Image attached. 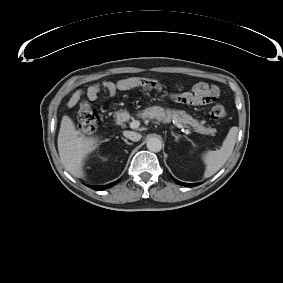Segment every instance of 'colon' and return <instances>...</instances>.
I'll return each mask as SVG.
<instances>
[{"label": "colon", "mask_w": 283, "mask_h": 283, "mask_svg": "<svg viewBox=\"0 0 283 283\" xmlns=\"http://www.w3.org/2000/svg\"><path fill=\"white\" fill-rule=\"evenodd\" d=\"M210 116L214 120L223 119L226 116L224 106L216 104L211 108ZM99 117L89 108L88 105L83 104L78 111V127L76 131L77 137H82L95 131L98 124Z\"/></svg>", "instance_id": "colon-1"}]
</instances>
